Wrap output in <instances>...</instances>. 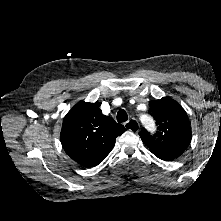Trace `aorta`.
I'll return each mask as SVG.
<instances>
[{"label":"aorta","mask_w":221,"mask_h":221,"mask_svg":"<svg viewBox=\"0 0 221 221\" xmlns=\"http://www.w3.org/2000/svg\"><path fill=\"white\" fill-rule=\"evenodd\" d=\"M141 121L148 129L153 130L155 128L154 120L149 115H143Z\"/></svg>","instance_id":"762f6f07"}]
</instances>
